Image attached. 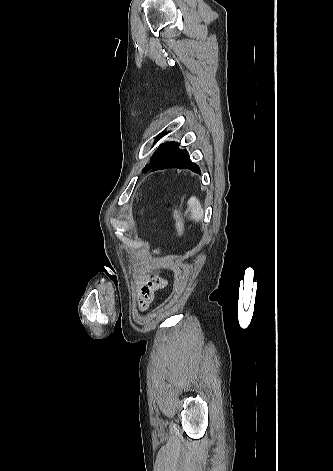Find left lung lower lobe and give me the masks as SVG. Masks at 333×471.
Wrapping results in <instances>:
<instances>
[{"mask_svg": "<svg viewBox=\"0 0 333 471\" xmlns=\"http://www.w3.org/2000/svg\"><path fill=\"white\" fill-rule=\"evenodd\" d=\"M168 166H170L169 168L189 169L195 173L201 174L199 166L190 160L186 150L177 152L169 161Z\"/></svg>", "mask_w": 333, "mask_h": 471, "instance_id": "0a47b994", "label": "left lung lower lobe"}]
</instances>
